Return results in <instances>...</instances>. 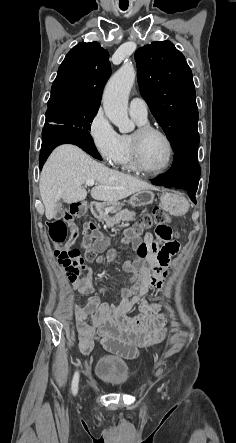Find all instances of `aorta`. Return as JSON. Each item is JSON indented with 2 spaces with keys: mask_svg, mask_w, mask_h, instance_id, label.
Masks as SVG:
<instances>
[{
  "mask_svg": "<svg viewBox=\"0 0 236 443\" xmlns=\"http://www.w3.org/2000/svg\"><path fill=\"white\" fill-rule=\"evenodd\" d=\"M135 78V69L127 62L110 78L104 90L105 114L121 133L134 129V123L128 117V97Z\"/></svg>",
  "mask_w": 236,
  "mask_h": 443,
  "instance_id": "1",
  "label": "aorta"
}]
</instances>
